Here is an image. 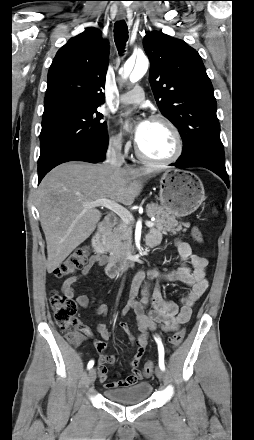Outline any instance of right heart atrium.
Listing matches in <instances>:
<instances>
[{"label": "right heart atrium", "mask_w": 254, "mask_h": 440, "mask_svg": "<svg viewBox=\"0 0 254 440\" xmlns=\"http://www.w3.org/2000/svg\"><path fill=\"white\" fill-rule=\"evenodd\" d=\"M109 146L115 151H128L130 147L120 133H114L109 137Z\"/></svg>", "instance_id": "obj_1"}]
</instances>
